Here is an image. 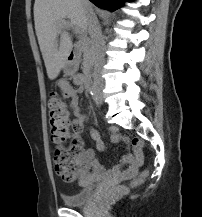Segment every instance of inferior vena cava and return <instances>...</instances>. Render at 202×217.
I'll return each instance as SVG.
<instances>
[{
    "mask_svg": "<svg viewBox=\"0 0 202 217\" xmlns=\"http://www.w3.org/2000/svg\"><path fill=\"white\" fill-rule=\"evenodd\" d=\"M82 5L86 8L88 16V33L90 36V42L95 55L94 63V83L96 86L103 85L102 68L104 65V40L102 31L97 17L93 13V10L89 6L88 0H81Z\"/></svg>",
    "mask_w": 202,
    "mask_h": 217,
    "instance_id": "inferior-vena-cava-1",
    "label": "inferior vena cava"
}]
</instances>
